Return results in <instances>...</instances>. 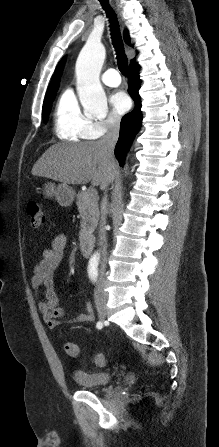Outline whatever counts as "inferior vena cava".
I'll use <instances>...</instances> for the list:
<instances>
[{"label": "inferior vena cava", "instance_id": "inferior-vena-cava-1", "mask_svg": "<svg viewBox=\"0 0 219 447\" xmlns=\"http://www.w3.org/2000/svg\"><path fill=\"white\" fill-rule=\"evenodd\" d=\"M119 124L120 118L114 117L113 120L108 124V130L106 134L100 140L102 144L105 154L111 160L114 159V148L115 144L118 140L119 136ZM107 184H102L101 189L104 190V196L101 202V217L99 221V230H98V246L100 253V262H99V277L97 280V286L94 293L95 300L98 301L102 297H104L103 291V283L106 271V263H107V234L105 230L106 219H107Z\"/></svg>", "mask_w": 219, "mask_h": 447}]
</instances>
